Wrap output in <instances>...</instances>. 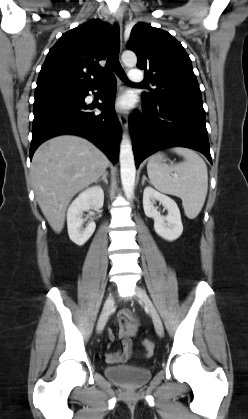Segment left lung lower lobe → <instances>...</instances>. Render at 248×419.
<instances>
[{
  "mask_svg": "<svg viewBox=\"0 0 248 419\" xmlns=\"http://www.w3.org/2000/svg\"><path fill=\"white\" fill-rule=\"evenodd\" d=\"M129 127L136 167L149 155L168 147L195 149L212 164L202 99L143 101V113L134 111Z\"/></svg>",
  "mask_w": 248,
  "mask_h": 419,
  "instance_id": "1",
  "label": "left lung lower lobe"
}]
</instances>
